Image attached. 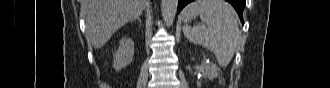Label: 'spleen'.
Here are the masks:
<instances>
[{
    "label": "spleen",
    "mask_w": 330,
    "mask_h": 88,
    "mask_svg": "<svg viewBox=\"0 0 330 88\" xmlns=\"http://www.w3.org/2000/svg\"><path fill=\"white\" fill-rule=\"evenodd\" d=\"M198 15L206 26L190 27L187 22ZM182 19L186 38L209 49L215 54L219 65L227 66L240 39L233 7L224 0H196L185 7Z\"/></svg>",
    "instance_id": "1"
}]
</instances>
